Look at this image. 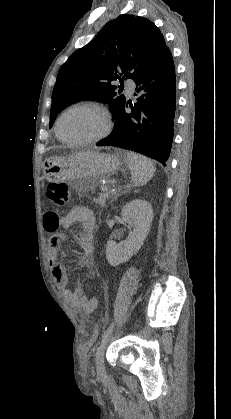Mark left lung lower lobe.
Instances as JSON below:
<instances>
[{"mask_svg":"<svg viewBox=\"0 0 231 419\" xmlns=\"http://www.w3.org/2000/svg\"><path fill=\"white\" fill-rule=\"evenodd\" d=\"M137 103L126 102L113 115L111 134L98 146L111 145L133 150L161 162L169 158L176 109L175 67L170 50L135 80Z\"/></svg>","mask_w":231,"mask_h":419,"instance_id":"left-lung-lower-lobe-1","label":"left lung lower lobe"}]
</instances>
